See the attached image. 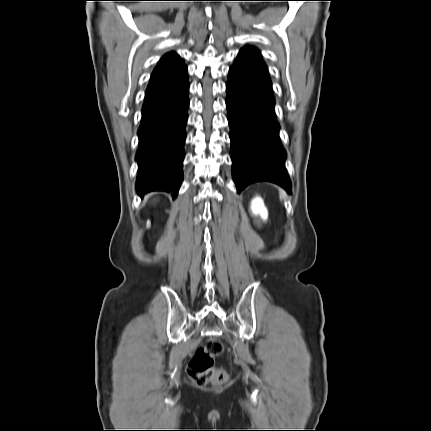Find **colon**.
<instances>
[{
  "label": "colon",
  "mask_w": 431,
  "mask_h": 431,
  "mask_svg": "<svg viewBox=\"0 0 431 431\" xmlns=\"http://www.w3.org/2000/svg\"><path fill=\"white\" fill-rule=\"evenodd\" d=\"M223 351V344L217 338L208 339L199 347L187 366L189 378L198 386L211 382L216 385L227 380V373L214 365L215 357Z\"/></svg>",
  "instance_id": "5ec220e1"
}]
</instances>
